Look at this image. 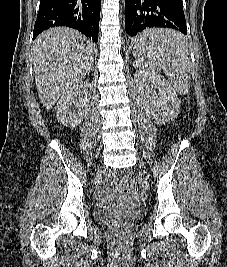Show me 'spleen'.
Masks as SVG:
<instances>
[{
  "label": "spleen",
  "instance_id": "spleen-1",
  "mask_svg": "<svg viewBox=\"0 0 227 267\" xmlns=\"http://www.w3.org/2000/svg\"><path fill=\"white\" fill-rule=\"evenodd\" d=\"M133 42L135 63L147 72V77H159L157 71L162 69L177 91L188 93L190 54L183 35L170 29H152Z\"/></svg>",
  "mask_w": 227,
  "mask_h": 267
}]
</instances>
